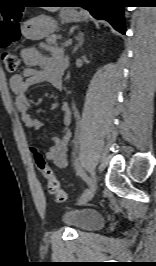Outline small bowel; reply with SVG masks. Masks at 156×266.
<instances>
[{
	"mask_svg": "<svg viewBox=\"0 0 156 266\" xmlns=\"http://www.w3.org/2000/svg\"><path fill=\"white\" fill-rule=\"evenodd\" d=\"M21 57L26 68L20 74L10 78L9 87L15 95V107L21 114L25 126L38 130L43 123L30 113L27 90L30 86L43 82L50 83L57 90H62L67 59L59 50H52L51 56H46L33 47L22 49ZM61 112L64 127L60 134L51 137L52 146L45 153V160L52 161L58 168H65L68 164L67 150L71 139L69 127L72 122V112L68 103L61 105Z\"/></svg>",
	"mask_w": 156,
	"mask_h": 266,
	"instance_id": "c3829d8e",
	"label": "small bowel"
}]
</instances>
